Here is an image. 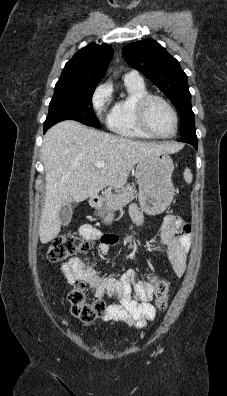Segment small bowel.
<instances>
[{
    "label": "small bowel",
    "mask_w": 227,
    "mask_h": 396,
    "mask_svg": "<svg viewBox=\"0 0 227 396\" xmlns=\"http://www.w3.org/2000/svg\"><path fill=\"white\" fill-rule=\"evenodd\" d=\"M130 213L137 223H143L142 213L136 205L131 206ZM79 234L87 240H99L98 250L102 255L107 254L110 247L117 242L115 235H102L89 225L81 227ZM158 242L168 249L169 263L175 275L182 276L192 244L189 225L178 216L166 215L159 230ZM61 270L70 284H74L76 280L85 281L95 298L100 299L107 295L115 297L117 302L107 306L104 321H119L142 328L156 316V310L151 304L155 293L154 286L149 281L139 280L132 270L123 273L119 280L100 278L78 256L64 263Z\"/></svg>",
    "instance_id": "obj_1"
}]
</instances>
